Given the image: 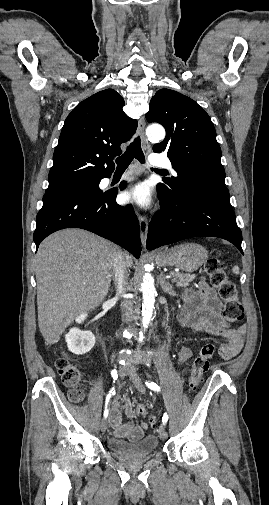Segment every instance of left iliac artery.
<instances>
[{
  "label": "left iliac artery",
  "instance_id": "left-iliac-artery-1",
  "mask_svg": "<svg viewBox=\"0 0 269 505\" xmlns=\"http://www.w3.org/2000/svg\"><path fill=\"white\" fill-rule=\"evenodd\" d=\"M145 384H146V386H147L149 389H151V390H153V391H156V392H160V387H159L156 383L146 381V382H145ZM168 418H169V417H168V414H167V413H164V415H163V417H162V423H163V425H164V426L166 425V423H167V421H168Z\"/></svg>",
  "mask_w": 269,
  "mask_h": 505
}]
</instances>
